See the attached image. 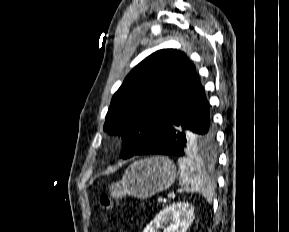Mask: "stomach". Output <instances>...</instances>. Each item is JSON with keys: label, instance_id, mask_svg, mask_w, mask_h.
I'll use <instances>...</instances> for the list:
<instances>
[{"label": "stomach", "instance_id": "1", "mask_svg": "<svg viewBox=\"0 0 289 232\" xmlns=\"http://www.w3.org/2000/svg\"><path fill=\"white\" fill-rule=\"evenodd\" d=\"M176 167L163 156H156L135 161L125 171L121 181L113 183L110 193L115 199L129 195L148 198L166 190L174 182Z\"/></svg>", "mask_w": 289, "mask_h": 232}]
</instances>
